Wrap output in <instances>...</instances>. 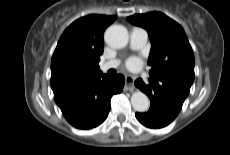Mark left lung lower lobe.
<instances>
[{"mask_svg":"<svg viewBox=\"0 0 230 155\" xmlns=\"http://www.w3.org/2000/svg\"><path fill=\"white\" fill-rule=\"evenodd\" d=\"M150 84L146 85L142 79L135 82L136 87L151 99L149 111L136 113V118L144 126L158 129L176 118L189 92L176 84L154 79H150Z\"/></svg>","mask_w":230,"mask_h":155,"instance_id":"left-lung-lower-lobe-1","label":"left lung lower lobe"}]
</instances>
